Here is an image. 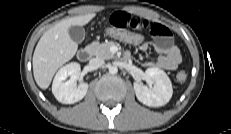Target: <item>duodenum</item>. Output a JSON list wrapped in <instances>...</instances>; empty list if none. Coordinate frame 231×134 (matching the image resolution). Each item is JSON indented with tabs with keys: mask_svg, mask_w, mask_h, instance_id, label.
<instances>
[{
	"mask_svg": "<svg viewBox=\"0 0 231 134\" xmlns=\"http://www.w3.org/2000/svg\"><path fill=\"white\" fill-rule=\"evenodd\" d=\"M90 55L91 49L89 47L82 48L77 52V58L81 62H86L90 58Z\"/></svg>",
	"mask_w": 231,
	"mask_h": 134,
	"instance_id": "duodenum-1",
	"label": "duodenum"
}]
</instances>
